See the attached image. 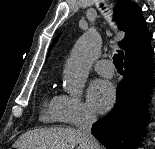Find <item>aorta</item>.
Masks as SVG:
<instances>
[{"label":"aorta","mask_w":155,"mask_h":149,"mask_svg":"<svg viewBox=\"0 0 155 149\" xmlns=\"http://www.w3.org/2000/svg\"><path fill=\"white\" fill-rule=\"evenodd\" d=\"M101 49V38L90 28L74 45L64 67V90L71 96L83 92L90 66Z\"/></svg>","instance_id":"aorta-1"}]
</instances>
